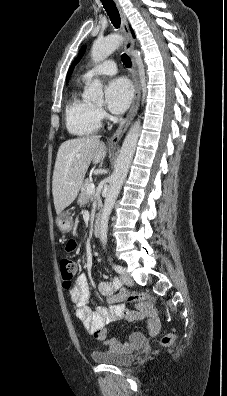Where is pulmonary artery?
Listing matches in <instances>:
<instances>
[{"label": "pulmonary artery", "mask_w": 227, "mask_h": 396, "mask_svg": "<svg viewBox=\"0 0 227 396\" xmlns=\"http://www.w3.org/2000/svg\"><path fill=\"white\" fill-rule=\"evenodd\" d=\"M117 72V65L113 60H106L88 69L84 75V80H90L98 75H113Z\"/></svg>", "instance_id": "pulmonary-artery-1"}]
</instances>
